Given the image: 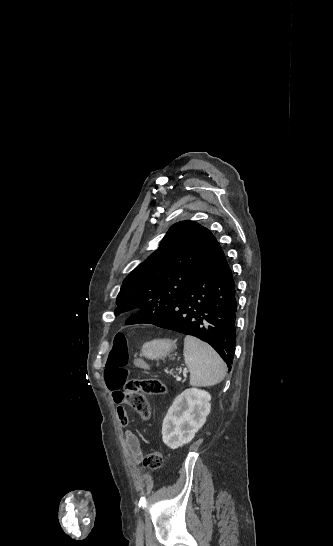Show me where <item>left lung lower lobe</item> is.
<instances>
[{"label": "left lung lower lobe", "instance_id": "1", "mask_svg": "<svg viewBox=\"0 0 333 546\" xmlns=\"http://www.w3.org/2000/svg\"><path fill=\"white\" fill-rule=\"evenodd\" d=\"M236 287L225 254L216 241L185 292L149 323L134 314L126 324H153L209 343L231 368L236 346Z\"/></svg>", "mask_w": 333, "mask_h": 546}]
</instances>
